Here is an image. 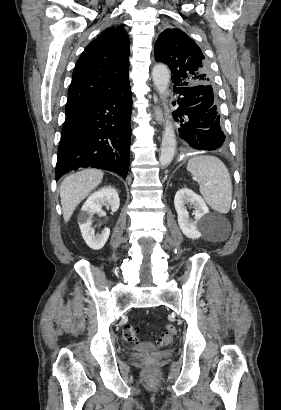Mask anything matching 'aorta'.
<instances>
[{
  "instance_id": "1",
  "label": "aorta",
  "mask_w": 281,
  "mask_h": 410,
  "mask_svg": "<svg viewBox=\"0 0 281 410\" xmlns=\"http://www.w3.org/2000/svg\"><path fill=\"white\" fill-rule=\"evenodd\" d=\"M154 85L161 96L162 101H165V95L170 82V71L164 64H157L152 70ZM176 136L173 125L169 119H166L165 129L163 132L159 162L162 166L169 165L175 155Z\"/></svg>"
}]
</instances>
